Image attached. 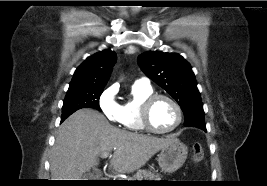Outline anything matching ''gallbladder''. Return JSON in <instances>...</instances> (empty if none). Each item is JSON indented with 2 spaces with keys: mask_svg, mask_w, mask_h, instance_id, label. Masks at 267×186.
Here are the masks:
<instances>
[{
  "mask_svg": "<svg viewBox=\"0 0 267 186\" xmlns=\"http://www.w3.org/2000/svg\"><path fill=\"white\" fill-rule=\"evenodd\" d=\"M83 178H84L85 180L93 179V178H95V175H94V173H85V174L83 175Z\"/></svg>",
  "mask_w": 267,
  "mask_h": 186,
  "instance_id": "1",
  "label": "gallbladder"
}]
</instances>
